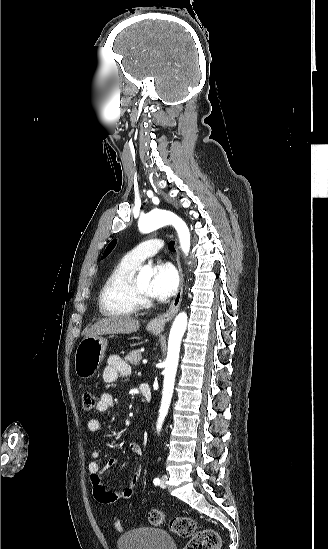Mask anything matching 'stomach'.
I'll return each instance as SVG.
<instances>
[{
  "label": "stomach",
  "instance_id": "0dacf381",
  "mask_svg": "<svg viewBox=\"0 0 328 549\" xmlns=\"http://www.w3.org/2000/svg\"><path fill=\"white\" fill-rule=\"evenodd\" d=\"M157 329L156 325L147 327V331H151V333H156ZM107 345L106 337H85L79 343L75 353V373L77 377H80L83 381L94 377L104 359Z\"/></svg>",
  "mask_w": 328,
  "mask_h": 549
}]
</instances>
